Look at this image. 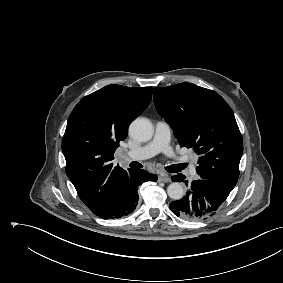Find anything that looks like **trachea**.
Wrapping results in <instances>:
<instances>
[{"mask_svg": "<svg viewBox=\"0 0 283 283\" xmlns=\"http://www.w3.org/2000/svg\"><path fill=\"white\" fill-rule=\"evenodd\" d=\"M129 166H130L131 168H137V169L143 167V165H142L141 163L136 162V161L131 162V163L129 164ZM180 167H186V164L172 165V166L167 167L166 170H168V171H173V170H176L177 168H180Z\"/></svg>", "mask_w": 283, "mask_h": 283, "instance_id": "trachea-1", "label": "trachea"}]
</instances>
